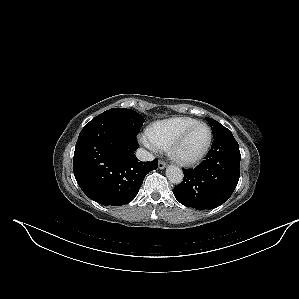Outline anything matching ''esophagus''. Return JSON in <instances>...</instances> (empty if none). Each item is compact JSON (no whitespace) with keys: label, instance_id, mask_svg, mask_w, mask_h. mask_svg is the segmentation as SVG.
Returning <instances> with one entry per match:
<instances>
[{"label":"esophagus","instance_id":"obj_1","mask_svg":"<svg viewBox=\"0 0 299 299\" xmlns=\"http://www.w3.org/2000/svg\"><path fill=\"white\" fill-rule=\"evenodd\" d=\"M165 167H166V163H165L164 161H161V160H160V161L158 162V168H159V169H164Z\"/></svg>","mask_w":299,"mask_h":299}]
</instances>
